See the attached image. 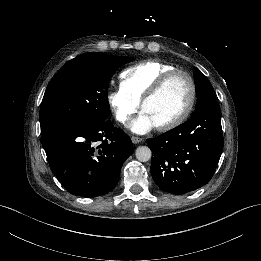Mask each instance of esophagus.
<instances>
[{
	"label": "esophagus",
	"instance_id": "1",
	"mask_svg": "<svg viewBox=\"0 0 261 261\" xmlns=\"http://www.w3.org/2000/svg\"><path fill=\"white\" fill-rule=\"evenodd\" d=\"M131 140L134 144L141 142L143 139L141 137L132 136Z\"/></svg>",
	"mask_w": 261,
	"mask_h": 261
}]
</instances>
